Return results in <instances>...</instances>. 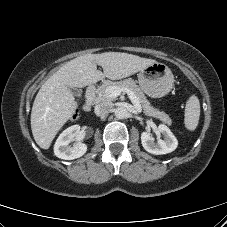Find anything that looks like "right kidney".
I'll return each instance as SVG.
<instances>
[{
	"label": "right kidney",
	"mask_w": 227,
	"mask_h": 227,
	"mask_svg": "<svg viewBox=\"0 0 227 227\" xmlns=\"http://www.w3.org/2000/svg\"><path fill=\"white\" fill-rule=\"evenodd\" d=\"M80 126L73 125L65 129L57 138L54 145V153L58 158L64 160H73L83 156L87 151V145L82 142H71L78 139L80 135Z\"/></svg>",
	"instance_id": "ca27d5eb"
}]
</instances>
